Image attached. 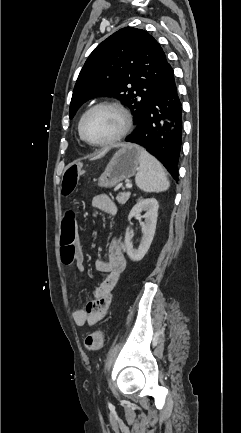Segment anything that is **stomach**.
<instances>
[{"mask_svg": "<svg viewBox=\"0 0 241 433\" xmlns=\"http://www.w3.org/2000/svg\"><path fill=\"white\" fill-rule=\"evenodd\" d=\"M141 148L135 144L123 145L111 158L98 178L99 187L111 188L132 177L139 169Z\"/></svg>", "mask_w": 241, "mask_h": 433, "instance_id": "obj_1", "label": "stomach"}]
</instances>
